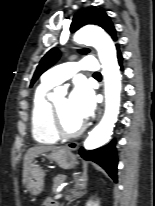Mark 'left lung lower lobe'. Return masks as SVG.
Instances as JSON below:
<instances>
[{
    "mask_svg": "<svg viewBox=\"0 0 155 206\" xmlns=\"http://www.w3.org/2000/svg\"><path fill=\"white\" fill-rule=\"evenodd\" d=\"M118 60L122 70V56L119 50ZM80 155L86 160H91L99 164L117 182V156L114 140L107 146L91 151H85L84 148H81Z\"/></svg>",
    "mask_w": 155,
    "mask_h": 206,
    "instance_id": "1",
    "label": "left lung lower lobe"
}]
</instances>
